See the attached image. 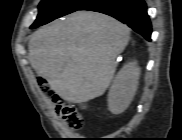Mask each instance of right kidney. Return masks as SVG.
I'll return each instance as SVG.
<instances>
[{
	"mask_svg": "<svg viewBox=\"0 0 182 140\" xmlns=\"http://www.w3.org/2000/svg\"><path fill=\"white\" fill-rule=\"evenodd\" d=\"M140 68L130 62L117 73L108 94V108L113 114L124 112L133 100L139 81Z\"/></svg>",
	"mask_w": 182,
	"mask_h": 140,
	"instance_id": "1",
	"label": "right kidney"
}]
</instances>
